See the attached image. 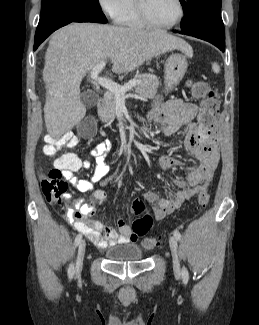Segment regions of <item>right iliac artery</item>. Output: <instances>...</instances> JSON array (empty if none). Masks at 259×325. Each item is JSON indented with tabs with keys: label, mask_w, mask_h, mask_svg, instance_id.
Returning a JSON list of instances; mask_svg holds the SVG:
<instances>
[{
	"label": "right iliac artery",
	"mask_w": 259,
	"mask_h": 325,
	"mask_svg": "<svg viewBox=\"0 0 259 325\" xmlns=\"http://www.w3.org/2000/svg\"><path fill=\"white\" fill-rule=\"evenodd\" d=\"M82 240V235L81 234H78L75 238V241H74V245L75 247L79 245V243L81 242ZM74 273H75V268H74V264L71 263L69 265V268H68V276L69 278H72L74 276Z\"/></svg>",
	"instance_id": "1"
}]
</instances>
